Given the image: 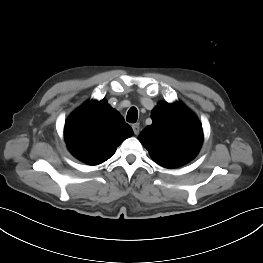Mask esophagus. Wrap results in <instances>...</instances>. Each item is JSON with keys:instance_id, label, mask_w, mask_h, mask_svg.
<instances>
[{"instance_id": "obj_1", "label": "esophagus", "mask_w": 263, "mask_h": 263, "mask_svg": "<svg viewBox=\"0 0 263 263\" xmlns=\"http://www.w3.org/2000/svg\"><path fill=\"white\" fill-rule=\"evenodd\" d=\"M132 128H133V132L135 135H138L139 132H140V126H139V123H135L132 125Z\"/></svg>"}]
</instances>
